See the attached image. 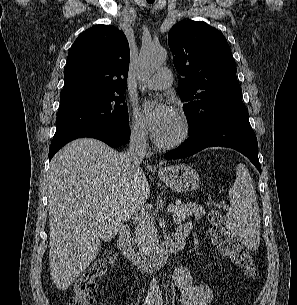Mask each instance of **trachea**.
Listing matches in <instances>:
<instances>
[{"instance_id": "obj_1", "label": "trachea", "mask_w": 297, "mask_h": 305, "mask_svg": "<svg viewBox=\"0 0 297 305\" xmlns=\"http://www.w3.org/2000/svg\"><path fill=\"white\" fill-rule=\"evenodd\" d=\"M155 0H147L148 3L152 4Z\"/></svg>"}]
</instances>
